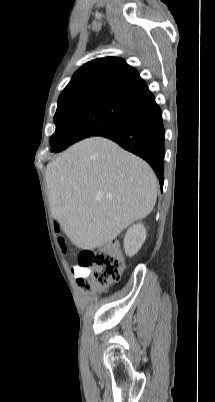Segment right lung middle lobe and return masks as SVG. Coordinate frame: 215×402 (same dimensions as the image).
I'll list each match as a JSON object with an SVG mask.
<instances>
[{
	"label": "right lung middle lobe",
	"mask_w": 215,
	"mask_h": 402,
	"mask_svg": "<svg viewBox=\"0 0 215 402\" xmlns=\"http://www.w3.org/2000/svg\"><path fill=\"white\" fill-rule=\"evenodd\" d=\"M142 104L106 93L75 94L58 99L51 152H60L90 136L111 133L125 124Z\"/></svg>",
	"instance_id": "dd1d6c3e"
}]
</instances>
